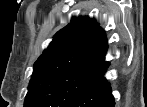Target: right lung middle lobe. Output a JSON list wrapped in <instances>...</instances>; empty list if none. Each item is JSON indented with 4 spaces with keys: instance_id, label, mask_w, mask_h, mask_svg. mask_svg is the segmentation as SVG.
Masks as SVG:
<instances>
[{
    "instance_id": "right-lung-middle-lobe-1",
    "label": "right lung middle lobe",
    "mask_w": 147,
    "mask_h": 107,
    "mask_svg": "<svg viewBox=\"0 0 147 107\" xmlns=\"http://www.w3.org/2000/svg\"><path fill=\"white\" fill-rule=\"evenodd\" d=\"M98 69L32 76L24 107H67L97 76Z\"/></svg>"
}]
</instances>
